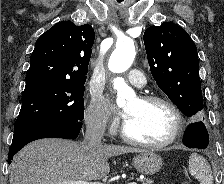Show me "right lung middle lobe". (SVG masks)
Instances as JSON below:
<instances>
[{
	"label": "right lung middle lobe",
	"instance_id": "obj_1",
	"mask_svg": "<svg viewBox=\"0 0 224 184\" xmlns=\"http://www.w3.org/2000/svg\"><path fill=\"white\" fill-rule=\"evenodd\" d=\"M84 83L37 81L26 84L14 132L42 121L81 122Z\"/></svg>",
	"mask_w": 224,
	"mask_h": 184
}]
</instances>
